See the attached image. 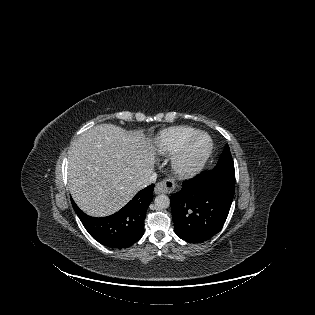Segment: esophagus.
<instances>
[{
    "mask_svg": "<svg viewBox=\"0 0 315 315\" xmlns=\"http://www.w3.org/2000/svg\"><path fill=\"white\" fill-rule=\"evenodd\" d=\"M176 188L175 182L172 179H164L158 182L155 186V194L170 193Z\"/></svg>",
    "mask_w": 315,
    "mask_h": 315,
    "instance_id": "obj_1",
    "label": "esophagus"
}]
</instances>
